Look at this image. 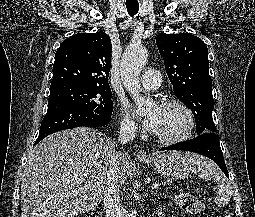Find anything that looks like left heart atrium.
Returning a JSON list of instances; mask_svg holds the SVG:
<instances>
[{
  "mask_svg": "<svg viewBox=\"0 0 255 217\" xmlns=\"http://www.w3.org/2000/svg\"><path fill=\"white\" fill-rule=\"evenodd\" d=\"M160 116V107H156L152 112L143 120L144 129L151 133L155 134L158 128Z\"/></svg>",
  "mask_w": 255,
  "mask_h": 217,
  "instance_id": "obj_1",
  "label": "left heart atrium"
}]
</instances>
